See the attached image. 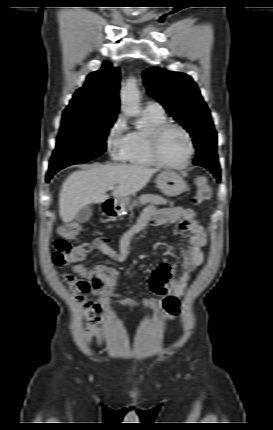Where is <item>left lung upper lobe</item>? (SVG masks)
Listing matches in <instances>:
<instances>
[{"mask_svg": "<svg viewBox=\"0 0 273 430\" xmlns=\"http://www.w3.org/2000/svg\"><path fill=\"white\" fill-rule=\"evenodd\" d=\"M143 77L148 94L191 134L197 158L216 153L217 135L212 118L192 78L157 67L146 70Z\"/></svg>", "mask_w": 273, "mask_h": 430, "instance_id": "5c2ea615", "label": "left lung upper lobe"}]
</instances>
